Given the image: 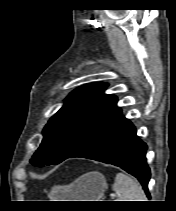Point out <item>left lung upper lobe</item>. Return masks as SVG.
Listing matches in <instances>:
<instances>
[{
  "label": "left lung upper lobe",
  "instance_id": "5c2ea615",
  "mask_svg": "<svg viewBox=\"0 0 176 211\" xmlns=\"http://www.w3.org/2000/svg\"><path fill=\"white\" fill-rule=\"evenodd\" d=\"M106 83L75 89L63 107L48 121L43 140L30 162L37 166L58 164L77 152L87 140L116 115L117 97L104 94Z\"/></svg>",
  "mask_w": 176,
  "mask_h": 211
}]
</instances>
